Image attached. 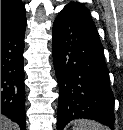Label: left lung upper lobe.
<instances>
[{
	"label": "left lung upper lobe",
	"instance_id": "obj_1",
	"mask_svg": "<svg viewBox=\"0 0 123 130\" xmlns=\"http://www.w3.org/2000/svg\"><path fill=\"white\" fill-rule=\"evenodd\" d=\"M65 8H68L70 11H72L74 16L79 21L90 26L93 29H96L95 25L92 22L89 9L86 8L83 4L77 2H71L67 4Z\"/></svg>",
	"mask_w": 123,
	"mask_h": 130
}]
</instances>
